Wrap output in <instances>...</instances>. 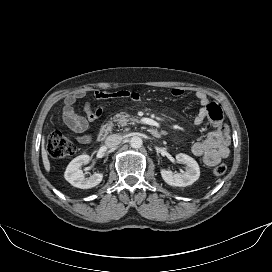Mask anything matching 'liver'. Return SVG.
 Instances as JSON below:
<instances>
[{"label": "liver", "instance_id": "6515ba94", "mask_svg": "<svg viewBox=\"0 0 272 272\" xmlns=\"http://www.w3.org/2000/svg\"><path fill=\"white\" fill-rule=\"evenodd\" d=\"M44 143H45V141H44V138H43L42 139V148H41L42 161H43V165H44L45 170L47 172H50L51 166H50V162H49V159H48V152L44 147Z\"/></svg>", "mask_w": 272, "mask_h": 272}]
</instances>
